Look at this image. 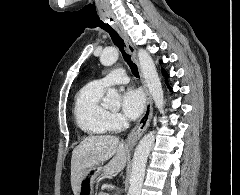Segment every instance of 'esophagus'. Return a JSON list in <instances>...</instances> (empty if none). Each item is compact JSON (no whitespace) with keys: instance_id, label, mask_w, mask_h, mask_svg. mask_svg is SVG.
Listing matches in <instances>:
<instances>
[{"instance_id":"1","label":"esophagus","mask_w":240,"mask_h":195,"mask_svg":"<svg viewBox=\"0 0 240 195\" xmlns=\"http://www.w3.org/2000/svg\"><path fill=\"white\" fill-rule=\"evenodd\" d=\"M112 26L124 40L128 52L130 53L134 62L136 63L140 73L141 82L146 93V105L144 108L143 115L127 137V145L133 147L138 142L139 138L142 137L143 133L147 130L151 123L153 116V100L148 91L147 85L144 82L135 47L133 46L130 38L128 37L127 33L123 30L121 25L113 24Z\"/></svg>"}]
</instances>
